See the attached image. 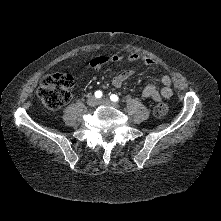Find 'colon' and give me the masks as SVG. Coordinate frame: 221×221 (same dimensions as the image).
I'll list each match as a JSON object with an SVG mask.
<instances>
[{"label": "colon", "mask_w": 221, "mask_h": 221, "mask_svg": "<svg viewBox=\"0 0 221 221\" xmlns=\"http://www.w3.org/2000/svg\"><path fill=\"white\" fill-rule=\"evenodd\" d=\"M73 85V76L67 73H57L45 76L38 88V97L43 105L50 110H58L69 103L71 99L70 88ZM168 111L165 103L154 107V115L163 117Z\"/></svg>", "instance_id": "colon-1"}]
</instances>
